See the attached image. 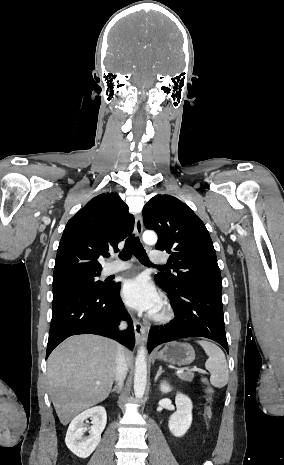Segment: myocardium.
Listing matches in <instances>:
<instances>
[{
  "label": "myocardium",
  "instance_id": "myocardium-1",
  "mask_svg": "<svg viewBox=\"0 0 284 465\" xmlns=\"http://www.w3.org/2000/svg\"><path fill=\"white\" fill-rule=\"evenodd\" d=\"M174 317V312L167 301H163L159 310L152 316V319L157 323H168Z\"/></svg>",
  "mask_w": 284,
  "mask_h": 465
}]
</instances>
